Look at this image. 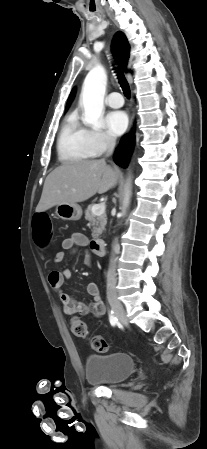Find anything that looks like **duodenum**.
<instances>
[{"instance_id": "1", "label": "duodenum", "mask_w": 207, "mask_h": 449, "mask_svg": "<svg viewBox=\"0 0 207 449\" xmlns=\"http://www.w3.org/2000/svg\"><path fill=\"white\" fill-rule=\"evenodd\" d=\"M105 246L106 243L103 239H94L93 241H91V249L98 256H102L105 254Z\"/></svg>"}]
</instances>
